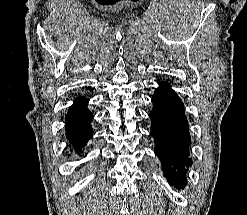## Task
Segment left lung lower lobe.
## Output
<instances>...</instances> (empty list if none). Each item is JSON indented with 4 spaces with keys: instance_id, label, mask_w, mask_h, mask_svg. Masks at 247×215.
<instances>
[{
    "instance_id": "obj_1",
    "label": "left lung lower lobe",
    "mask_w": 247,
    "mask_h": 215,
    "mask_svg": "<svg viewBox=\"0 0 247 215\" xmlns=\"http://www.w3.org/2000/svg\"><path fill=\"white\" fill-rule=\"evenodd\" d=\"M152 102L150 132L155 139L154 152L163 163L168 182L183 188L187 182V167L192 165L191 139L183 103L166 82L156 89Z\"/></svg>"
}]
</instances>
